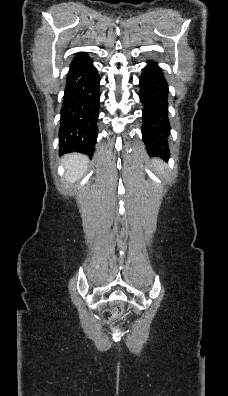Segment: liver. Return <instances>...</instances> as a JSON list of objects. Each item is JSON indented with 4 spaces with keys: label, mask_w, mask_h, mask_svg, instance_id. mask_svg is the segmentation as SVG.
Listing matches in <instances>:
<instances>
[{
    "label": "liver",
    "mask_w": 228,
    "mask_h": 396,
    "mask_svg": "<svg viewBox=\"0 0 228 396\" xmlns=\"http://www.w3.org/2000/svg\"><path fill=\"white\" fill-rule=\"evenodd\" d=\"M63 163L66 167L65 179L69 183L78 181L85 173L88 158L82 154H68L64 157Z\"/></svg>",
    "instance_id": "liver-1"
}]
</instances>
